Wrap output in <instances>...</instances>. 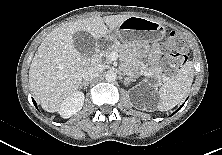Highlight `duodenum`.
I'll use <instances>...</instances> for the list:
<instances>
[{
	"label": "duodenum",
	"mask_w": 222,
	"mask_h": 155,
	"mask_svg": "<svg viewBox=\"0 0 222 155\" xmlns=\"http://www.w3.org/2000/svg\"><path fill=\"white\" fill-rule=\"evenodd\" d=\"M99 51H100V45L98 44L97 47H96V51H95V54L93 55L91 61L92 63H96L99 59Z\"/></svg>",
	"instance_id": "410a0bca"
}]
</instances>
